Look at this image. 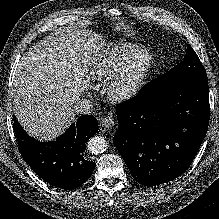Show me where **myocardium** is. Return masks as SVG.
<instances>
[{"mask_svg": "<svg viewBox=\"0 0 219 219\" xmlns=\"http://www.w3.org/2000/svg\"><path fill=\"white\" fill-rule=\"evenodd\" d=\"M144 59V65L131 78L127 80L128 72L140 60ZM152 68V58L144 51H139L132 57L121 63L106 83V94L113 102H124L132 98L143 85Z\"/></svg>", "mask_w": 219, "mask_h": 219, "instance_id": "f54148a6", "label": "myocardium"}]
</instances>
